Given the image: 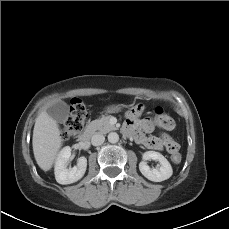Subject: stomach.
<instances>
[{"label":"stomach","instance_id":"obj_1","mask_svg":"<svg viewBox=\"0 0 229 229\" xmlns=\"http://www.w3.org/2000/svg\"><path fill=\"white\" fill-rule=\"evenodd\" d=\"M122 109V106L121 105H109L105 108V111L107 113H115V112H118Z\"/></svg>","mask_w":229,"mask_h":229}]
</instances>
